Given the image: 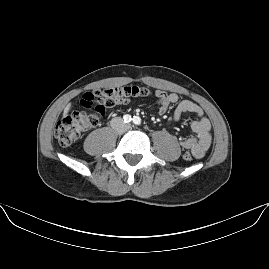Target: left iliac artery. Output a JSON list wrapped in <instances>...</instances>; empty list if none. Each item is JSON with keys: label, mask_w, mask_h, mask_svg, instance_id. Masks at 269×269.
<instances>
[{"label": "left iliac artery", "mask_w": 269, "mask_h": 269, "mask_svg": "<svg viewBox=\"0 0 269 269\" xmlns=\"http://www.w3.org/2000/svg\"><path fill=\"white\" fill-rule=\"evenodd\" d=\"M133 123H134L135 125H140V124H141V118L138 117V116H134V118H133Z\"/></svg>", "instance_id": "44dca946"}]
</instances>
